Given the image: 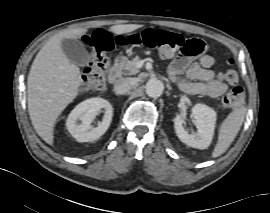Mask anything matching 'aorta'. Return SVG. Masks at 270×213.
Segmentation results:
<instances>
[{
  "mask_svg": "<svg viewBox=\"0 0 270 213\" xmlns=\"http://www.w3.org/2000/svg\"><path fill=\"white\" fill-rule=\"evenodd\" d=\"M146 93L150 97H158L164 91V84L159 79H150L146 83Z\"/></svg>",
  "mask_w": 270,
  "mask_h": 213,
  "instance_id": "1",
  "label": "aorta"
}]
</instances>
